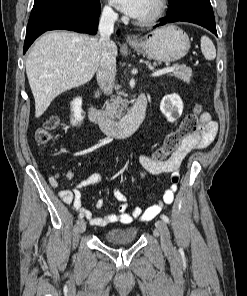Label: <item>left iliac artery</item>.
Returning a JSON list of instances; mask_svg holds the SVG:
<instances>
[{
	"mask_svg": "<svg viewBox=\"0 0 247 296\" xmlns=\"http://www.w3.org/2000/svg\"><path fill=\"white\" fill-rule=\"evenodd\" d=\"M161 219L166 222V223H169V218L166 216V215H161Z\"/></svg>",
	"mask_w": 247,
	"mask_h": 296,
	"instance_id": "44dca946",
	"label": "left iliac artery"
}]
</instances>
